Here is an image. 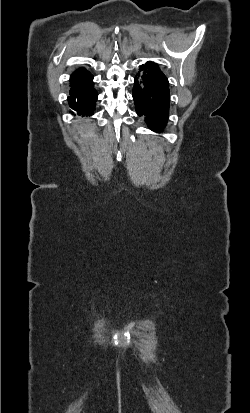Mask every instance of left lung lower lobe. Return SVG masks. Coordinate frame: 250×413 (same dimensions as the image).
I'll use <instances>...</instances> for the list:
<instances>
[{
    "label": "left lung lower lobe",
    "mask_w": 250,
    "mask_h": 413,
    "mask_svg": "<svg viewBox=\"0 0 250 413\" xmlns=\"http://www.w3.org/2000/svg\"><path fill=\"white\" fill-rule=\"evenodd\" d=\"M139 70L133 88L136 112L151 130L160 132L169 114L168 80L153 62L143 64Z\"/></svg>",
    "instance_id": "1"
}]
</instances>
